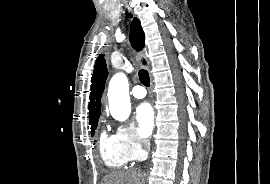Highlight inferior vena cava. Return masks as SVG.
I'll use <instances>...</instances> for the list:
<instances>
[{
	"label": "inferior vena cava",
	"mask_w": 270,
	"mask_h": 184,
	"mask_svg": "<svg viewBox=\"0 0 270 184\" xmlns=\"http://www.w3.org/2000/svg\"><path fill=\"white\" fill-rule=\"evenodd\" d=\"M143 144H144V146H145L147 149L150 148V141H149V140H144V141H143Z\"/></svg>",
	"instance_id": "obj_1"
}]
</instances>
